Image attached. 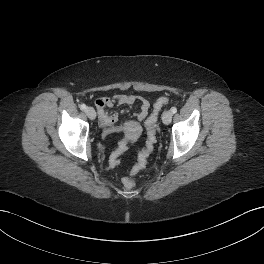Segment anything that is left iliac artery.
Here are the masks:
<instances>
[{"mask_svg":"<svg viewBox=\"0 0 264 264\" xmlns=\"http://www.w3.org/2000/svg\"><path fill=\"white\" fill-rule=\"evenodd\" d=\"M171 112H172L173 114H175V113L177 112V108H176V107H172V108H171Z\"/></svg>","mask_w":264,"mask_h":264,"instance_id":"1","label":"left iliac artery"}]
</instances>
